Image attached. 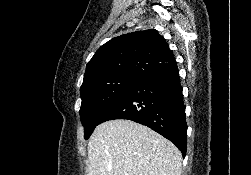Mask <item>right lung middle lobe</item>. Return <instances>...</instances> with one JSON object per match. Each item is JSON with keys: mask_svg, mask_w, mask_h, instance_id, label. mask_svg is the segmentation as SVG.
<instances>
[{"mask_svg": "<svg viewBox=\"0 0 251 175\" xmlns=\"http://www.w3.org/2000/svg\"><path fill=\"white\" fill-rule=\"evenodd\" d=\"M139 80L132 76H117L81 87L80 119L85 139L90 137L103 113Z\"/></svg>", "mask_w": 251, "mask_h": 175, "instance_id": "1", "label": "right lung middle lobe"}]
</instances>
